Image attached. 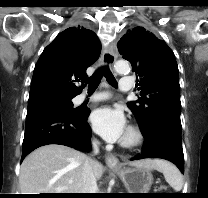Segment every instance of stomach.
Masks as SVG:
<instances>
[{"instance_id":"0dacf381","label":"stomach","mask_w":208,"mask_h":198,"mask_svg":"<svg viewBox=\"0 0 208 198\" xmlns=\"http://www.w3.org/2000/svg\"><path fill=\"white\" fill-rule=\"evenodd\" d=\"M129 193H148L153 183V176L148 169L142 167L113 168Z\"/></svg>"}]
</instances>
